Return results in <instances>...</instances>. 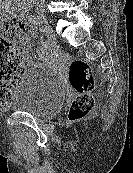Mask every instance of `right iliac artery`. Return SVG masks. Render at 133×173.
<instances>
[{"mask_svg":"<svg viewBox=\"0 0 133 173\" xmlns=\"http://www.w3.org/2000/svg\"><path fill=\"white\" fill-rule=\"evenodd\" d=\"M48 41H43V47H48Z\"/></svg>","mask_w":133,"mask_h":173,"instance_id":"1","label":"right iliac artery"}]
</instances>
